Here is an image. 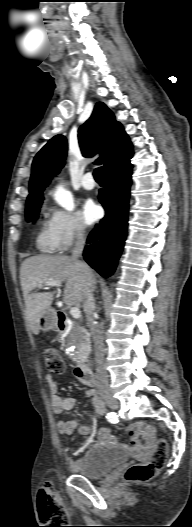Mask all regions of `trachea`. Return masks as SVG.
Here are the masks:
<instances>
[{"label": "trachea", "mask_w": 192, "mask_h": 527, "mask_svg": "<svg viewBox=\"0 0 192 527\" xmlns=\"http://www.w3.org/2000/svg\"><path fill=\"white\" fill-rule=\"evenodd\" d=\"M94 178L96 181H103V169L102 167H99L97 169H95L94 173Z\"/></svg>", "instance_id": "obj_1"}]
</instances>
